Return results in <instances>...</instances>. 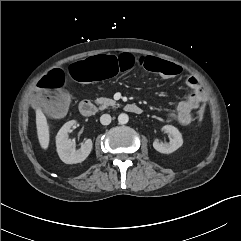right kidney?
Instances as JSON below:
<instances>
[{
  "mask_svg": "<svg viewBox=\"0 0 241 241\" xmlns=\"http://www.w3.org/2000/svg\"><path fill=\"white\" fill-rule=\"evenodd\" d=\"M74 124V120L65 123L56 136L57 153L60 159L66 164L83 162L92 150L93 144L91 139H87L85 143L81 145L80 149L75 150L73 147L74 144L68 136V133L71 131Z\"/></svg>",
  "mask_w": 241,
  "mask_h": 241,
  "instance_id": "1",
  "label": "right kidney"
}]
</instances>
